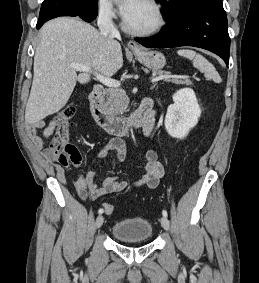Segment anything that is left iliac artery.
<instances>
[{"label":"left iliac artery","mask_w":259,"mask_h":283,"mask_svg":"<svg viewBox=\"0 0 259 283\" xmlns=\"http://www.w3.org/2000/svg\"><path fill=\"white\" fill-rule=\"evenodd\" d=\"M162 214H163V216H164V217H167V216H168V214H167V211H166V210H163V211H162Z\"/></svg>","instance_id":"left-iliac-artery-1"}]
</instances>
